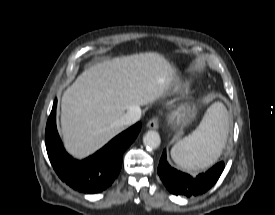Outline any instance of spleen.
Returning a JSON list of instances; mask_svg holds the SVG:
<instances>
[{
  "mask_svg": "<svg viewBox=\"0 0 275 215\" xmlns=\"http://www.w3.org/2000/svg\"><path fill=\"white\" fill-rule=\"evenodd\" d=\"M229 128V115L222 103L212 104L189 136L171 149L174 162L183 169H203L212 165L222 153Z\"/></svg>",
  "mask_w": 275,
  "mask_h": 215,
  "instance_id": "3e777b00",
  "label": "spleen"
}]
</instances>
